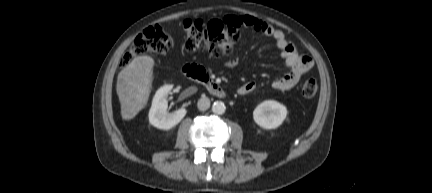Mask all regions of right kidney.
Masks as SVG:
<instances>
[{
    "label": "right kidney",
    "mask_w": 432,
    "mask_h": 193,
    "mask_svg": "<svg viewBox=\"0 0 432 193\" xmlns=\"http://www.w3.org/2000/svg\"><path fill=\"white\" fill-rule=\"evenodd\" d=\"M173 85H165L157 90L149 111V122L159 129L169 130L175 127L185 117L187 111L181 108L173 113H168L167 97Z\"/></svg>",
    "instance_id": "obj_1"
}]
</instances>
